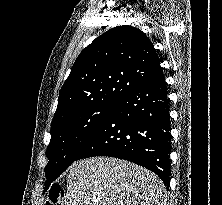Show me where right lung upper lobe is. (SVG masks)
I'll list each match as a JSON object with an SVG mask.
<instances>
[{
    "label": "right lung upper lobe",
    "mask_w": 222,
    "mask_h": 205,
    "mask_svg": "<svg viewBox=\"0 0 222 205\" xmlns=\"http://www.w3.org/2000/svg\"><path fill=\"white\" fill-rule=\"evenodd\" d=\"M161 73L158 54L141 30L129 25L114 27L76 59L61 88L52 123L98 103L121 101Z\"/></svg>",
    "instance_id": "1"
}]
</instances>
